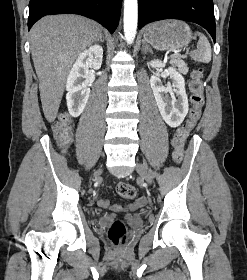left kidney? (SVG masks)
I'll return each mask as SVG.
<instances>
[{
  "instance_id": "left-kidney-1",
  "label": "left kidney",
  "mask_w": 247,
  "mask_h": 280,
  "mask_svg": "<svg viewBox=\"0 0 247 280\" xmlns=\"http://www.w3.org/2000/svg\"><path fill=\"white\" fill-rule=\"evenodd\" d=\"M150 66L162 69L165 67V64L159 60H152L150 61ZM167 74L172 79V85L168 83L166 86H163L158 74L151 76L150 85L163 120L170 127L175 128L183 122L188 113V97L186 95L184 77L172 67L168 68ZM168 93L171 95V98Z\"/></svg>"
}]
</instances>
